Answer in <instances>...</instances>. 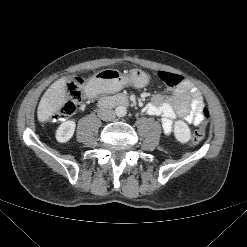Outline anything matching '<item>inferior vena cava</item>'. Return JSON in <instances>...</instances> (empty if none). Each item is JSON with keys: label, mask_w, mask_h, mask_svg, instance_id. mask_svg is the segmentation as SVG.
<instances>
[{"label": "inferior vena cava", "mask_w": 247, "mask_h": 247, "mask_svg": "<svg viewBox=\"0 0 247 247\" xmlns=\"http://www.w3.org/2000/svg\"><path fill=\"white\" fill-rule=\"evenodd\" d=\"M98 116L103 121H112L116 117V113L113 109L109 108H100L98 110Z\"/></svg>", "instance_id": "obj_1"}]
</instances>
